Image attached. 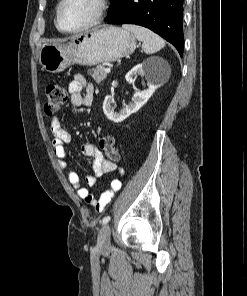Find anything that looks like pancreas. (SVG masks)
Wrapping results in <instances>:
<instances>
[{
	"instance_id": "cf45deb5",
	"label": "pancreas",
	"mask_w": 247,
	"mask_h": 296,
	"mask_svg": "<svg viewBox=\"0 0 247 296\" xmlns=\"http://www.w3.org/2000/svg\"><path fill=\"white\" fill-rule=\"evenodd\" d=\"M104 69V65H98L96 68L89 70L88 74L92 76L96 83L100 84L107 76Z\"/></svg>"
}]
</instances>
